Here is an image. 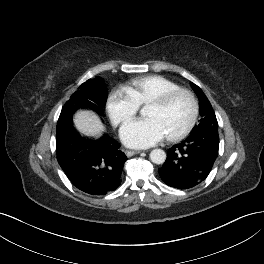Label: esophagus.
Listing matches in <instances>:
<instances>
[{"mask_svg":"<svg viewBox=\"0 0 264 264\" xmlns=\"http://www.w3.org/2000/svg\"><path fill=\"white\" fill-rule=\"evenodd\" d=\"M139 153H141V151H131V150H127V151H126V155H127L128 157L133 156V155H135V154H139Z\"/></svg>","mask_w":264,"mask_h":264,"instance_id":"34e87169","label":"esophagus"}]
</instances>
